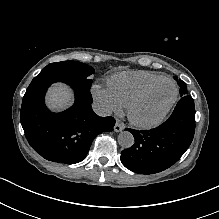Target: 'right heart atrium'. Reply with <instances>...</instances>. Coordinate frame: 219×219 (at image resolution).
<instances>
[{"mask_svg":"<svg viewBox=\"0 0 219 219\" xmlns=\"http://www.w3.org/2000/svg\"><path fill=\"white\" fill-rule=\"evenodd\" d=\"M92 93L104 114L120 113L121 105L115 100L109 90L104 89L100 85H95L93 86Z\"/></svg>","mask_w":219,"mask_h":219,"instance_id":"right-heart-atrium-1","label":"right heart atrium"}]
</instances>
